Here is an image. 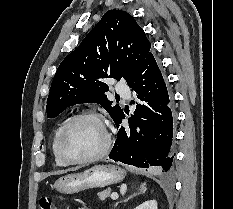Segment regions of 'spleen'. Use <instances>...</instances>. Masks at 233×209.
<instances>
[{
    "instance_id": "obj_1",
    "label": "spleen",
    "mask_w": 233,
    "mask_h": 209,
    "mask_svg": "<svg viewBox=\"0 0 233 209\" xmlns=\"http://www.w3.org/2000/svg\"><path fill=\"white\" fill-rule=\"evenodd\" d=\"M145 191H146L145 184H142V185H141V192H145Z\"/></svg>"
}]
</instances>
